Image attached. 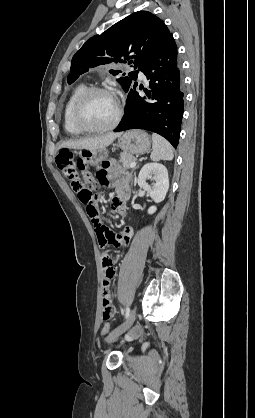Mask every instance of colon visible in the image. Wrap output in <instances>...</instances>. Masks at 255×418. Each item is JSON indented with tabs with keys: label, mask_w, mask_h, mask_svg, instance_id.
Returning <instances> with one entry per match:
<instances>
[{
	"label": "colon",
	"mask_w": 255,
	"mask_h": 418,
	"mask_svg": "<svg viewBox=\"0 0 255 418\" xmlns=\"http://www.w3.org/2000/svg\"><path fill=\"white\" fill-rule=\"evenodd\" d=\"M57 164L64 177L70 182L72 189L78 194L80 201L86 206L87 214L91 218L98 235V228L104 226L98 217V197L90 189L93 184L92 174L84 168L82 163L75 160L74 155L69 150H62L59 153ZM79 171H81V177ZM108 325L106 322L102 325L101 332L103 335L108 333Z\"/></svg>",
	"instance_id": "obj_1"
}]
</instances>
